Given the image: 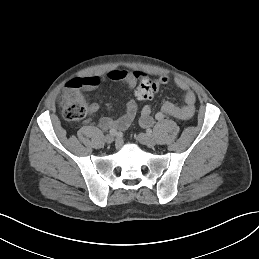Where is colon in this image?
I'll list each match as a JSON object with an SVG mask.
<instances>
[{"label":"colon","instance_id":"1","mask_svg":"<svg viewBox=\"0 0 259 259\" xmlns=\"http://www.w3.org/2000/svg\"><path fill=\"white\" fill-rule=\"evenodd\" d=\"M84 85V79L70 80L65 87L62 98L64 116L71 121H80L86 117L89 107L80 92ZM158 87L149 80L142 81L135 90V96L139 100H148L156 95Z\"/></svg>","mask_w":259,"mask_h":259}]
</instances>
